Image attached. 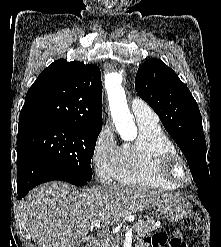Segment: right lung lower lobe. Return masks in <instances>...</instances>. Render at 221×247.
Instances as JSON below:
<instances>
[{
	"label": "right lung lower lobe",
	"mask_w": 221,
	"mask_h": 247,
	"mask_svg": "<svg viewBox=\"0 0 221 247\" xmlns=\"http://www.w3.org/2000/svg\"><path fill=\"white\" fill-rule=\"evenodd\" d=\"M18 199H22L32 188L44 182L61 180L83 186L88 181L75 177L55 162L28 149H17Z\"/></svg>",
	"instance_id": "98d812e1"
}]
</instances>
